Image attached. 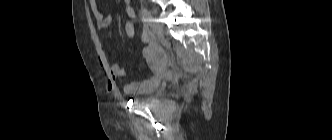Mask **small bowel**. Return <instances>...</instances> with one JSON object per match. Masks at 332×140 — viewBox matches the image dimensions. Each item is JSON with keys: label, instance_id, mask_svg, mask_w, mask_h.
Instances as JSON below:
<instances>
[{"label": "small bowel", "instance_id": "small-bowel-1", "mask_svg": "<svg viewBox=\"0 0 332 140\" xmlns=\"http://www.w3.org/2000/svg\"><path fill=\"white\" fill-rule=\"evenodd\" d=\"M124 1H125L126 14L128 15L129 18H134L136 13H135L134 8L130 5V0H124ZM89 6H90V10L92 12V15L96 21L97 31L100 33L105 32L107 37L110 40H113L112 16L104 15L99 10L98 5H97V0H89ZM141 39L144 43L149 42V36L146 33L142 34ZM151 52H152V48L150 46H147L143 49V55L145 57L149 56L151 54ZM110 72H111L112 78L115 80H121L126 77L125 70L118 64L111 65ZM147 82H148V80L128 83L124 86V92L128 95L142 93L143 90L146 88Z\"/></svg>", "mask_w": 332, "mask_h": 140}]
</instances>
